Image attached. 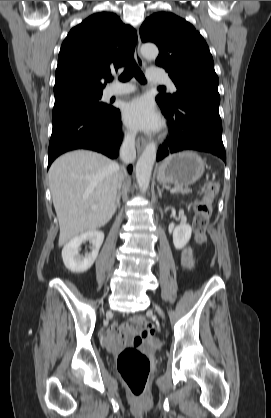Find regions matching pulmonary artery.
<instances>
[{
	"mask_svg": "<svg viewBox=\"0 0 271 418\" xmlns=\"http://www.w3.org/2000/svg\"><path fill=\"white\" fill-rule=\"evenodd\" d=\"M147 78L150 82L153 83L167 84L170 87L171 91L176 90L175 85L168 79V77L162 74L157 69H149L147 71ZM132 91H134V87L131 85L113 86L107 90L106 95L108 97L122 96L125 94H129Z\"/></svg>",
	"mask_w": 271,
	"mask_h": 418,
	"instance_id": "pulmonary-artery-1",
	"label": "pulmonary artery"
}]
</instances>
